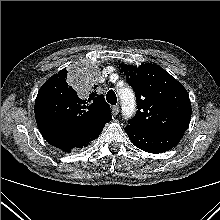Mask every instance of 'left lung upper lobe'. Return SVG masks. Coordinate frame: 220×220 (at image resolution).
Returning <instances> with one entry per match:
<instances>
[{
	"instance_id": "1",
	"label": "left lung upper lobe",
	"mask_w": 220,
	"mask_h": 220,
	"mask_svg": "<svg viewBox=\"0 0 220 220\" xmlns=\"http://www.w3.org/2000/svg\"><path fill=\"white\" fill-rule=\"evenodd\" d=\"M134 89L137 113L129 125L159 133H184L191 118L186 89L167 71L155 64L139 67L121 65Z\"/></svg>"
}]
</instances>
